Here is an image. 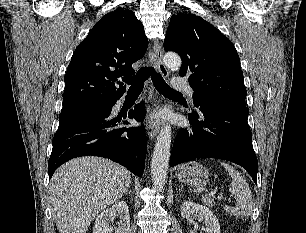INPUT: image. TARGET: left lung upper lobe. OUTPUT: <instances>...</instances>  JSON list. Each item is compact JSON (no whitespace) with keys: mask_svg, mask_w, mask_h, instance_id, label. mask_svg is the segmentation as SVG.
Returning <instances> with one entry per match:
<instances>
[{"mask_svg":"<svg viewBox=\"0 0 306 233\" xmlns=\"http://www.w3.org/2000/svg\"><path fill=\"white\" fill-rule=\"evenodd\" d=\"M164 50L180 55L179 74L189 77L196 107L221 102L246 107L247 92L237 51L213 25L195 14L172 16Z\"/></svg>","mask_w":306,"mask_h":233,"instance_id":"left-lung-upper-lobe-1","label":"left lung upper lobe"}]
</instances>
